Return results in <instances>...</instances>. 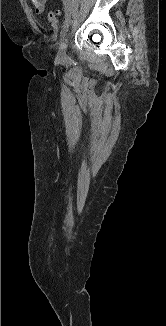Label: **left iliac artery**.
<instances>
[{
  "mask_svg": "<svg viewBox=\"0 0 166 326\" xmlns=\"http://www.w3.org/2000/svg\"><path fill=\"white\" fill-rule=\"evenodd\" d=\"M70 18H71V12H67L66 15H65V21H64V24H63V28H62V31H61V36L64 37L67 30H68V27H69V24H70Z\"/></svg>",
  "mask_w": 166,
  "mask_h": 326,
  "instance_id": "left-iliac-artery-1",
  "label": "left iliac artery"
}]
</instances>
